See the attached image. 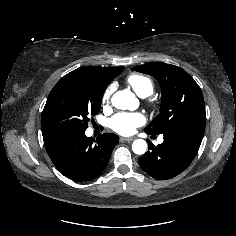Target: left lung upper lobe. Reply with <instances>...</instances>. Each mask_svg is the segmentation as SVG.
I'll use <instances>...</instances> for the list:
<instances>
[{
    "label": "left lung upper lobe",
    "mask_w": 236,
    "mask_h": 236,
    "mask_svg": "<svg viewBox=\"0 0 236 236\" xmlns=\"http://www.w3.org/2000/svg\"><path fill=\"white\" fill-rule=\"evenodd\" d=\"M132 70L154 76L162 89L160 114L145 128L146 133L163 134L182 125L206 123L201 89L183 69L166 63H150Z\"/></svg>",
    "instance_id": "1"
}]
</instances>
